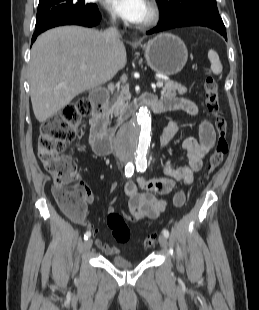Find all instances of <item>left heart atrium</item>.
<instances>
[{"mask_svg": "<svg viewBox=\"0 0 259 310\" xmlns=\"http://www.w3.org/2000/svg\"><path fill=\"white\" fill-rule=\"evenodd\" d=\"M107 8L116 16L130 23H139L145 0H105Z\"/></svg>", "mask_w": 259, "mask_h": 310, "instance_id": "39dd6f15", "label": "left heart atrium"}]
</instances>
